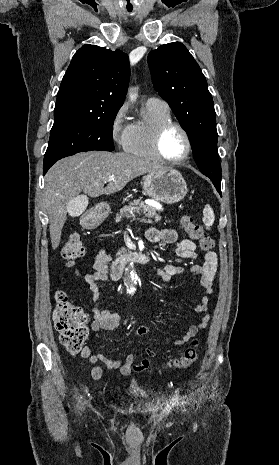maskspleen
Masks as SVG:
<instances>
[{
    "mask_svg": "<svg viewBox=\"0 0 279 465\" xmlns=\"http://www.w3.org/2000/svg\"><path fill=\"white\" fill-rule=\"evenodd\" d=\"M214 212L209 205H206L203 210V223L205 226H212L214 223Z\"/></svg>",
    "mask_w": 279,
    "mask_h": 465,
    "instance_id": "spleen-1",
    "label": "spleen"
}]
</instances>
